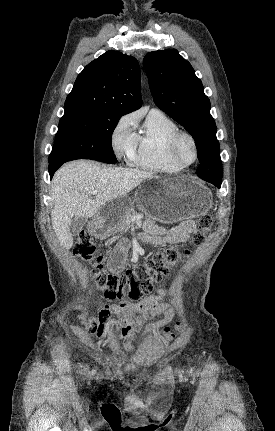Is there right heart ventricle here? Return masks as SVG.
Listing matches in <instances>:
<instances>
[{
	"label": "right heart ventricle",
	"mask_w": 275,
	"mask_h": 431,
	"mask_svg": "<svg viewBox=\"0 0 275 431\" xmlns=\"http://www.w3.org/2000/svg\"><path fill=\"white\" fill-rule=\"evenodd\" d=\"M179 131L177 124L165 113L152 109L147 114L140 132L132 164L158 173H176L182 170L168 154L171 137Z\"/></svg>",
	"instance_id": "right-heart-ventricle-1"
}]
</instances>
